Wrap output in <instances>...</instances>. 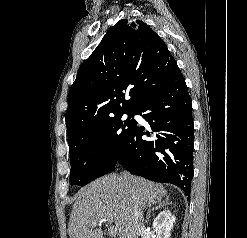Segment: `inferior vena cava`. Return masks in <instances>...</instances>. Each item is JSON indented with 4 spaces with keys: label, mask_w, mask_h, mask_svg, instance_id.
Returning <instances> with one entry per match:
<instances>
[{
    "label": "inferior vena cava",
    "mask_w": 247,
    "mask_h": 238,
    "mask_svg": "<svg viewBox=\"0 0 247 238\" xmlns=\"http://www.w3.org/2000/svg\"><path fill=\"white\" fill-rule=\"evenodd\" d=\"M123 177L127 180L130 178L129 173L124 172ZM132 222H133V238H138L141 231L144 229L143 210L140 203L134 199L132 204Z\"/></svg>",
    "instance_id": "obj_1"
}]
</instances>
